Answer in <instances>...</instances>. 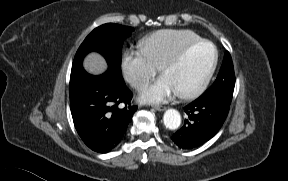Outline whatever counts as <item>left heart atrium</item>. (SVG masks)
<instances>
[{
    "instance_id": "left-heart-atrium-1",
    "label": "left heart atrium",
    "mask_w": 288,
    "mask_h": 181,
    "mask_svg": "<svg viewBox=\"0 0 288 181\" xmlns=\"http://www.w3.org/2000/svg\"><path fill=\"white\" fill-rule=\"evenodd\" d=\"M174 93V88L162 76L142 92L141 98L146 102H162Z\"/></svg>"
}]
</instances>
